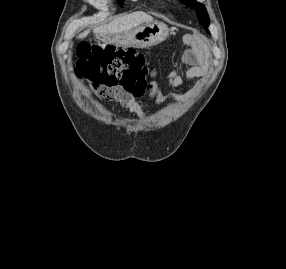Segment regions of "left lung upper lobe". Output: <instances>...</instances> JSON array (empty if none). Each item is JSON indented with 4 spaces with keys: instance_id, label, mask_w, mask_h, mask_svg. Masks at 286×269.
I'll list each match as a JSON object with an SVG mask.
<instances>
[{
    "instance_id": "left-lung-upper-lobe-1",
    "label": "left lung upper lobe",
    "mask_w": 286,
    "mask_h": 269,
    "mask_svg": "<svg viewBox=\"0 0 286 269\" xmlns=\"http://www.w3.org/2000/svg\"><path fill=\"white\" fill-rule=\"evenodd\" d=\"M187 6L190 8H197V16L199 21L202 23V25L207 28L209 25V16L207 13V10L205 6L201 3H198L196 0H182ZM207 32H209L207 30Z\"/></svg>"
}]
</instances>
